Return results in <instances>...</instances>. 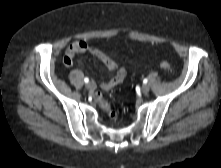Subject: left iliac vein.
Masks as SVG:
<instances>
[{"label": "left iliac vein", "mask_w": 221, "mask_h": 168, "mask_svg": "<svg viewBox=\"0 0 221 168\" xmlns=\"http://www.w3.org/2000/svg\"><path fill=\"white\" fill-rule=\"evenodd\" d=\"M150 91V87L148 85H143L142 86V93L147 94Z\"/></svg>", "instance_id": "4c4485c4"}]
</instances>
